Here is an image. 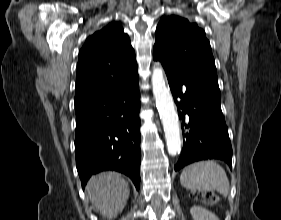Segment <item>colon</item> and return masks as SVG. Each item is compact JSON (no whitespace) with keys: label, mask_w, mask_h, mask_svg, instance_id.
Masks as SVG:
<instances>
[{"label":"colon","mask_w":281,"mask_h":220,"mask_svg":"<svg viewBox=\"0 0 281 220\" xmlns=\"http://www.w3.org/2000/svg\"><path fill=\"white\" fill-rule=\"evenodd\" d=\"M193 197L197 200H200V201H202L204 203H208V204H214L219 201V197L211 191L195 192L193 194Z\"/></svg>","instance_id":"5ec220e1"}]
</instances>
